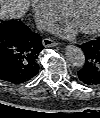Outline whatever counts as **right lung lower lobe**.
I'll use <instances>...</instances> for the list:
<instances>
[{
    "label": "right lung lower lobe",
    "instance_id": "98d812e1",
    "mask_svg": "<svg viewBox=\"0 0 100 118\" xmlns=\"http://www.w3.org/2000/svg\"><path fill=\"white\" fill-rule=\"evenodd\" d=\"M44 48L39 34L21 20L0 23V79L20 84L39 71L38 57Z\"/></svg>",
    "mask_w": 100,
    "mask_h": 118
}]
</instances>
